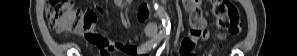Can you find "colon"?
Wrapping results in <instances>:
<instances>
[{
  "label": "colon",
  "instance_id": "5ec220e1",
  "mask_svg": "<svg viewBox=\"0 0 297 56\" xmlns=\"http://www.w3.org/2000/svg\"><path fill=\"white\" fill-rule=\"evenodd\" d=\"M212 13L216 18V26L223 32L237 34L241 31L242 22L238 8L228 0H213ZM46 15L50 27L58 33H96L95 9L80 10L74 7L73 1L48 0ZM222 35H217L218 42Z\"/></svg>",
  "mask_w": 297,
  "mask_h": 56
}]
</instances>
